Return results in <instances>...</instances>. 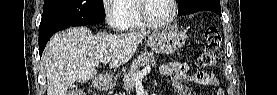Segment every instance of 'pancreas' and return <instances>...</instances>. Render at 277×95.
I'll return each mask as SVG.
<instances>
[{"mask_svg":"<svg viewBox=\"0 0 277 95\" xmlns=\"http://www.w3.org/2000/svg\"><path fill=\"white\" fill-rule=\"evenodd\" d=\"M155 65V56L153 52H143L136 59L133 60L130 69L124 74L123 88L127 92H131L134 88L135 80L133 74L139 72L140 68L148 65Z\"/></svg>","mask_w":277,"mask_h":95,"instance_id":"1","label":"pancreas"}]
</instances>
